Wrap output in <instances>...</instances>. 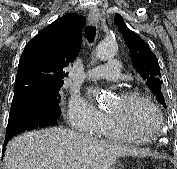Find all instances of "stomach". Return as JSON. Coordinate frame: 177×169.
Masks as SVG:
<instances>
[{"mask_svg": "<svg viewBox=\"0 0 177 169\" xmlns=\"http://www.w3.org/2000/svg\"><path fill=\"white\" fill-rule=\"evenodd\" d=\"M109 169H118V168L116 167V162H115Z\"/></svg>", "mask_w": 177, "mask_h": 169, "instance_id": "1", "label": "stomach"}]
</instances>
